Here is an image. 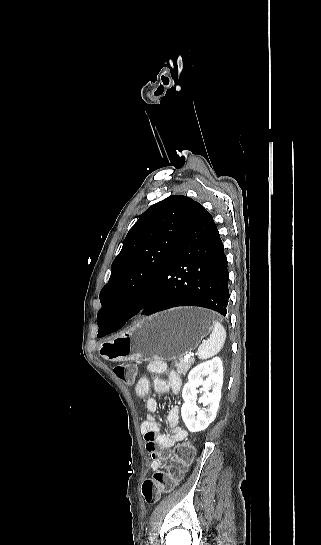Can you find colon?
<instances>
[{"mask_svg": "<svg viewBox=\"0 0 321 545\" xmlns=\"http://www.w3.org/2000/svg\"><path fill=\"white\" fill-rule=\"evenodd\" d=\"M113 372L127 385L134 382L135 368L131 364L116 365ZM193 457L192 444L188 442L178 444L173 450L171 463L164 470L155 472L143 481L141 492L145 501L149 504L156 503L164 494L169 493L183 478Z\"/></svg>", "mask_w": 321, "mask_h": 545, "instance_id": "colon-1", "label": "colon"}]
</instances>
